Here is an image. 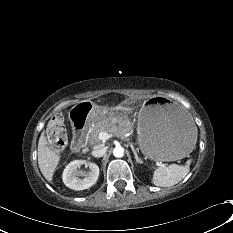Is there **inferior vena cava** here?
Returning a JSON list of instances; mask_svg holds the SVG:
<instances>
[{"label":"inferior vena cava","mask_w":233,"mask_h":233,"mask_svg":"<svg viewBox=\"0 0 233 233\" xmlns=\"http://www.w3.org/2000/svg\"><path fill=\"white\" fill-rule=\"evenodd\" d=\"M106 151H107V147L98 148V149H95V150L92 151V155L94 157H98L99 158V157L104 156L105 153H106Z\"/></svg>","instance_id":"obj_1"}]
</instances>
